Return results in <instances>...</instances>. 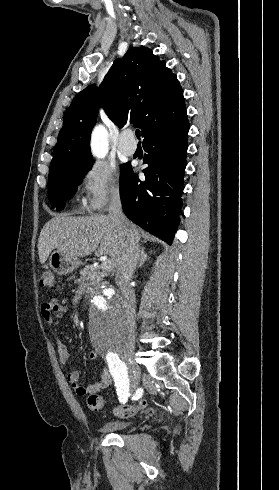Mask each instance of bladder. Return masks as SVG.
Masks as SVG:
<instances>
[{
  "label": "bladder",
  "instance_id": "obj_1",
  "mask_svg": "<svg viewBox=\"0 0 279 490\" xmlns=\"http://www.w3.org/2000/svg\"><path fill=\"white\" fill-rule=\"evenodd\" d=\"M131 425V420H112L105 421L100 426L101 431H105L108 434H118L121 430L129 428Z\"/></svg>",
  "mask_w": 279,
  "mask_h": 490
}]
</instances>
